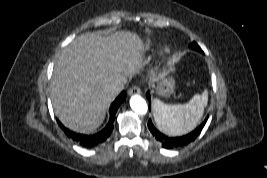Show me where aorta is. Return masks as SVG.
Masks as SVG:
<instances>
[{"label":"aorta","mask_w":267,"mask_h":178,"mask_svg":"<svg viewBox=\"0 0 267 178\" xmlns=\"http://www.w3.org/2000/svg\"><path fill=\"white\" fill-rule=\"evenodd\" d=\"M130 106L132 110L138 114H146L148 111V105L146 101L139 95H133L130 98Z\"/></svg>","instance_id":"762f6f07"}]
</instances>
